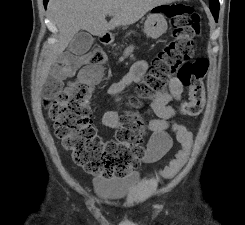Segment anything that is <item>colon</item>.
<instances>
[{
  "label": "colon",
  "instance_id": "colon-1",
  "mask_svg": "<svg viewBox=\"0 0 245 225\" xmlns=\"http://www.w3.org/2000/svg\"><path fill=\"white\" fill-rule=\"evenodd\" d=\"M169 11L172 13L173 40L153 60L143 80L136 84L137 97L131 99L135 108L129 117L121 120L116 141L102 147L92 125L90 74L74 77L81 56L67 57L49 80L47 90L55 95L49 111L55 135L71 152L73 161L88 173L104 178L122 177L137 164L136 158L144 154L147 135L142 121L143 111L137 109V105L141 99L163 93L168 80L176 72L182 84L190 90L189 98L182 103V114L196 116L203 110V79L208 63L203 59L192 60L195 39L200 36L199 13L195 7L182 4L171 6ZM86 56L87 62L94 66L103 64L106 59V54L98 49L89 51ZM96 75H99L98 72ZM71 78L74 79L64 85ZM182 138V148L163 169L168 178L178 174L189 156L192 137L183 134Z\"/></svg>",
  "mask_w": 245,
  "mask_h": 225
}]
</instances>
